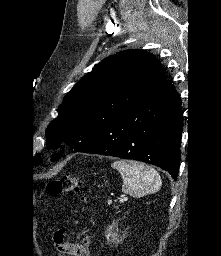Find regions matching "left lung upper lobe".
I'll list each match as a JSON object with an SVG mask.
<instances>
[{
    "label": "left lung upper lobe",
    "mask_w": 221,
    "mask_h": 256,
    "mask_svg": "<svg viewBox=\"0 0 221 256\" xmlns=\"http://www.w3.org/2000/svg\"><path fill=\"white\" fill-rule=\"evenodd\" d=\"M166 82L160 62L145 51L127 50L105 58L65 96L58 117L46 129L47 147L64 143L79 149ZM41 162L36 155L35 165Z\"/></svg>",
    "instance_id": "5c2ea615"
}]
</instances>
